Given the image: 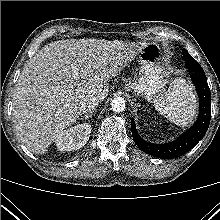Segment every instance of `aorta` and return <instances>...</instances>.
Masks as SVG:
<instances>
[{
	"instance_id": "aorta-1",
	"label": "aorta",
	"mask_w": 220,
	"mask_h": 220,
	"mask_svg": "<svg viewBox=\"0 0 220 220\" xmlns=\"http://www.w3.org/2000/svg\"><path fill=\"white\" fill-rule=\"evenodd\" d=\"M110 104L114 112H123L126 108V101L122 97L113 98Z\"/></svg>"
}]
</instances>
